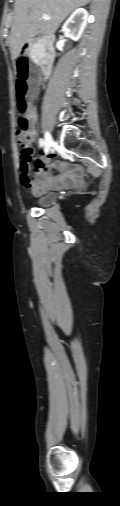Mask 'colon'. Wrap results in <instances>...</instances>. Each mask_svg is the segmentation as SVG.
<instances>
[{"instance_id":"colon-1","label":"colon","mask_w":120,"mask_h":506,"mask_svg":"<svg viewBox=\"0 0 120 506\" xmlns=\"http://www.w3.org/2000/svg\"><path fill=\"white\" fill-rule=\"evenodd\" d=\"M17 84H16V95H17V107H18V125L20 130L16 133L15 140L20 146V169L21 172L26 173L28 165L32 159L33 148L32 142L34 140L32 134V120L29 111V105L26 100V96L29 93V85L27 79L30 75V56L21 58L19 52H17Z\"/></svg>"}]
</instances>
